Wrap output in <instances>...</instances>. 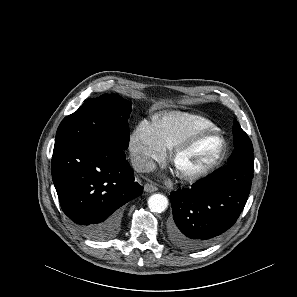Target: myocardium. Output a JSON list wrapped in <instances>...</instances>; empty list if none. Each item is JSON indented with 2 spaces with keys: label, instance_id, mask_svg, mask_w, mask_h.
<instances>
[{
  "label": "myocardium",
  "instance_id": "f54148a6",
  "mask_svg": "<svg viewBox=\"0 0 297 297\" xmlns=\"http://www.w3.org/2000/svg\"><path fill=\"white\" fill-rule=\"evenodd\" d=\"M210 135H215L216 137L219 138L220 140V150L216 158L204 169L193 173V174H180L176 171L177 176L184 182L186 183H194L197 182L208 175H210L212 172H214L220 164L223 162L225 156H226V151H227V143L226 139L224 136L221 134L220 131H218L216 128L212 129H201L198 131H195L188 135L186 138H184L181 142H179L171 151L170 154V163L174 167L175 162L177 158L190 149L199 139L210 136ZM175 169V168H174Z\"/></svg>",
  "mask_w": 297,
  "mask_h": 297
}]
</instances>
